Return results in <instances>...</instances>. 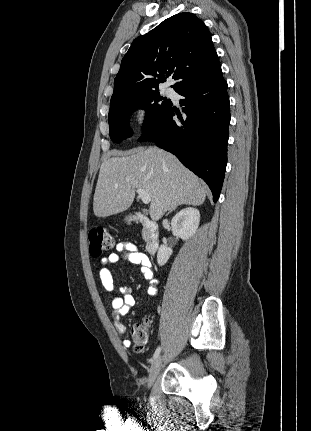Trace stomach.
I'll use <instances>...</instances> for the list:
<instances>
[{"instance_id": "1", "label": "stomach", "mask_w": 311, "mask_h": 431, "mask_svg": "<svg viewBox=\"0 0 311 431\" xmlns=\"http://www.w3.org/2000/svg\"><path fill=\"white\" fill-rule=\"evenodd\" d=\"M128 223H130V219H128Z\"/></svg>"}]
</instances>
